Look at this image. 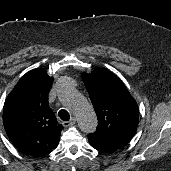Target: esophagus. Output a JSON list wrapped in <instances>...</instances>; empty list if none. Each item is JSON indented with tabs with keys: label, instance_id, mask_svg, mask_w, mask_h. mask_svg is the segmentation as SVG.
I'll list each match as a JSON object with an SVG mask.
<instances>
[{
	"label": "esophagus",
	"instance_id": "34e87169",
	"mask_svg": "<svg viewBox=\"0 0 171 171\" xmlns=\"http://www.w3.org/2000/svg\"><path fill=\"white\" fill-rule=\"evenodd\" d=\"M75 123H76V119H75V117H72L70 119V121L63 122V126L68 127V126L74 125Z\"/></svg>",
	"mask_w": 171,
	"mask_h": 171
}]
</instances>
